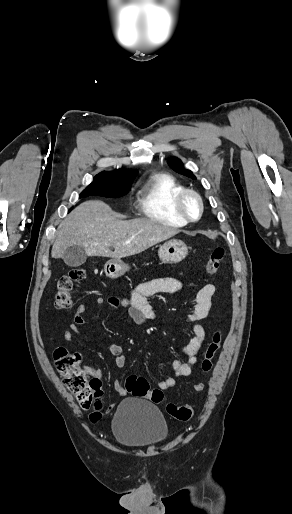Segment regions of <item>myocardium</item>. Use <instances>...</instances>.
Masks as SVG:
<instances>
[{
    "instance_id": "obj_1",
    "label": "myocardium",
    "mask_w": 292,
    "mask_h": 514,
    "mask_svg": "<svg viewBox=\"0 0 292 514\" xmlns=\"http://www.w3.org/2000/svg\"><path fill=\"white\" fill-rule=\"evenodd\" d=\"M187 197H192L197 202L198 214L195 218H192L184 211L183 202H184L185 198H187ZM172 207H173V211L175 212V214L177 216H179L180 218H182L183 220H185L186 222L198 221L202 217L203 211H204L203 200H202L201 196L199 195L198 192H196L193 189H189V188H183V189L177 191L173 195Z\"/></svg>"
}]
</instances>
